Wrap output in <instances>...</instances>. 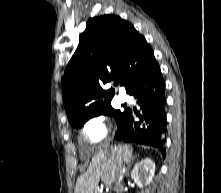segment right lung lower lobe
I'll use <instances>...</instances> for the list:
<instances>
[{
    "instance_id": "98d812e1",
    "label": "right lung lower lobe",
    "mask_w": 221,
    "mask_h": 193,
    "mask_svg": "<svg viewBox=\"0 0 221 193\" xmlns=\"http://www.w3.org/2000/svg\"><path fill=\"white\" fill-rule=\"evenodd\" d=\"M165 82L156 60L131 83L129 95L138 100L141 114L126 109L125 119L115 138L127 142L150 145L161 150L165 157L166 113ZM139 119H137V117Z\"/></svg>"
}]
</instances>
